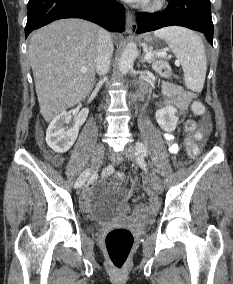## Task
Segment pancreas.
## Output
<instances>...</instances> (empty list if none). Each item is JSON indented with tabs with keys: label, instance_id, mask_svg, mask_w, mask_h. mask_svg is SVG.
<instances>
[{
	"label": "pancreas",
	"instance_id": "pancreas-1",
	"mask_svg": "<svg viewBox=\"0 0 233 284\" xmlns=\"http://www.w3.org/2000/svg\"><path fill=\"white\" fill-rule=\"evenodd\" d=\"M153 53V57L148 61L149 63H152L153 65V68L156 69L158 71V69L156 68L157 65H161V66H164L165 65V62L163 61H158L157 59L159 58L158 56V51H154L152 52Z\"/></svg>",
	"mask_w": 233,
	"mask_h": 284
}]
</instances>
